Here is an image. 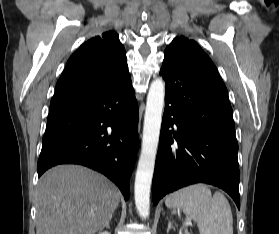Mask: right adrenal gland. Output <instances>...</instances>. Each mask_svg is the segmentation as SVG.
Returning <instances> with one entry per match:
<instances>
[{
  "label": "right adrenal gland",
  "instance_id": "right-adrenal-gland-1",
  "mask_svg": "<svg viewBox=\"0 0 279 234\" xmlns=\"http://www.w3.org/2000/svg\"><path fill=\"white\" fill-rule=\"evenodd\" d=\"M111 219H112V216L109 218V220L105 223V225L103 227L109 228V223H110Z\"/></svg>",
  "mask_w": 279,
  "mask_h": 234
}]
</instances>
